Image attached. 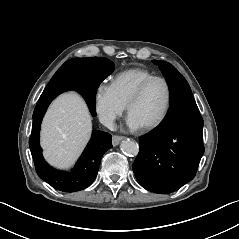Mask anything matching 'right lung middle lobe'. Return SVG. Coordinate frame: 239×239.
I'll use <instances>...</instances> for the list:
<instances>
[{
  "mask_svg": "<svg viewBox=\"0 0 239 239\" xmlns=\"http://www.w3.org/2000/svg\"><path fill=\"white\" fill-rule=\"evenodd\" d=\"M95 60L99 61L101 65H107L108 67L113 68L114 64L112 61L103 58V57H92ZM77 59L79 58H74L71 60L66 61L62 67H64L65 65L77 61ZM63 73L61 68L55 73V75L52 77V79L50 80V82L48 83V85L46 86L45 90L43 91L42 95H46L52 92H55L57 90H59L61 87L65 86L68 84V82H66V80L63 78Z\"/></svg>",
  "mask_w": 239,
  "mask_h": 239,
  "instance_id": "obj_1",
  "label": "right lung middle lobe"
}]
</instances>
